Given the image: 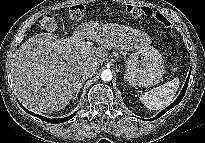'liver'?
<instances>
[{"label": "liver", "instance_id": "1", "mask_svg": "<svg viewBox=\"0 0 205 143\" xmlns=\"http://www.w3.org/2000/svg\"><path fill=\"white\" fill-rule=\"evenodd\" d=\"M85 39L99 46H83ZM150 36L138 29L95 21L79 25L73 35L60 38L41 33L19 47L11 61L14 91L27 108L53 113L65 108L80 83L81 69L107 60V49L136 50L150 46Z\"/></svg>", "mask_w": 205, "mask_h": 143}]
</instances>
